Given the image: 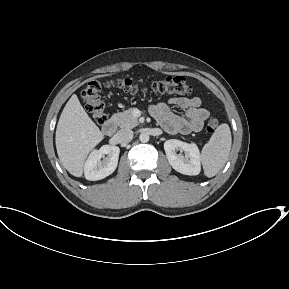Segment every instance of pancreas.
<instances>
[{
  "instance_id": "cf45deb5",
  "label": "pancreas",
  "mask_w": 289,
  "mask_h": 289,
  "mask_svg": "<svg viewBox=\"0 0 289 289\" xmlns=\"http://www.w3.org/2000/svg\"><path fill=\"white\" fill-rule=\"evenodd\" d=\"M134 108H129L120 113H115L112 120L121 128H134L138 125V119L133 115Z\"/></svg>"
}]
</instances>
